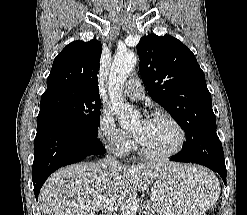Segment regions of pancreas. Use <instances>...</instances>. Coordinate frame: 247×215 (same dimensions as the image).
I'll return each mask as SVG.
<instances>
[{
  "instance_id": "cf45deb5",
  "label": "pancreas",
  "mask_w": 247,
  "mask_h": 215,
  "mask_svg": "<svg viewBox=\"0 0 247 215\" xmlns=\"http://www.w3.org/2000/svg\"><path fill=\"white\" fill-rule=\"evenodd\" d=\"M133 203L137 204L138 206L137 212L140 215H156L155 210L150 202L143 201V200H134Z\"/></svg>"
}]
</instances>
